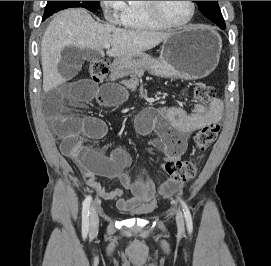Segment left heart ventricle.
Instances as JSON below:
<instances>
[{
    "label": "left heart ventricle",
    "instance_id": "obj_1",
    "mask_svg": "<svg viewBox=\"0 0 271 266\" xmlns=\"http://www.w3.org/2000/svg\"><path fill=\"white\" fill-rule=\"evenodd\" d=\"M157 9L166 20L172 23L185 22L191 11L188 1H157Z\"/></svg>",
    "mask_w": 271,
    "mask_h": 266
}]
</instances>
